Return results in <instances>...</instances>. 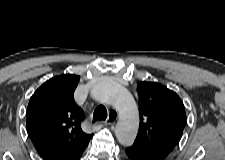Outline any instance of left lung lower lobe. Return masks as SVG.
Listing matches in <instances>:
<instances>
[{"label": "left lung lower lobe", "mask_w": 225, "mask_h": 160, "mask_svg": "<svg viewBox=\"0 0 225 160\" xmlns=\"http://www.w3.org/2000/svg\"><path fill=\"white\" fill-rule=\"evenodd\" d=\"M125 154L127 160H150L148 157L138 153L137 151L133 150L130 147L126 148Z\"/></svg>", "instance_id": "obj_1"}]
</instances>
